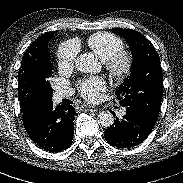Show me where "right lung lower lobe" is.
<instances>
[{
    "label": "right lung lower lobe",
    "instance_id": "1",
    "mask_svg": "<svg viewBox=\"0 0 183 183\" xmlns=\"http://www.w3.org/2000/svg\"><path fill=\"white\" fill-rule=\"evenodd\" d=\"M21 112L26 132L40 148L57 153L71 145L76 114L71 105L53 107L48 99L29 103Z\"/></svg>",
    "mask_w": 183,
    "mask_h": 183
}]
</instances>
